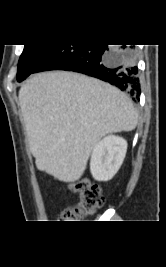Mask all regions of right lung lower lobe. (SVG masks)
<instances>
[{
  "label": "right lung lower lobe",
  "instance_id": "98d812e1",
  "mask_svg": "<svg viewBox=\"0 0 166 267\" xmlns=\"http://www.w3.org/2000/svg\"><path fill=\"white\" fill-rule=\"evenodd\" d=\"M67 70L83 73L116 86L139 101L141 94L133 46L58 45L34 70Z\"/></svg>",
  "mask_w": 166,
  "mask_h": 267
}]
</instances>
